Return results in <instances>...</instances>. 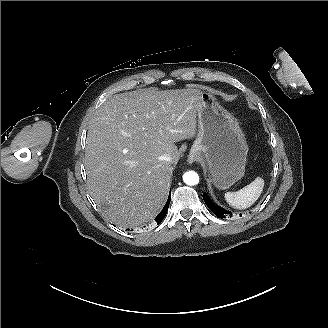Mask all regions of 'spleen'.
<instances>
[{
  "instance_id": "obj_1",
  "label": "spleen",
  "mask_w": 328,
  "mask_h": 328,
  "mask_svg": "<svg viewBox=\"0 0 328 328\" xmlns=\"http://www.w3.org/2000/svg\"><path fill=\"white\" fill-rule=\"evenodd\" d=\"M264 188V180L257 177L249 185L237 192L225 193L226 202L233 208L243 210L252 206L260 197Z\"/></svg>"
}]
</instances>
